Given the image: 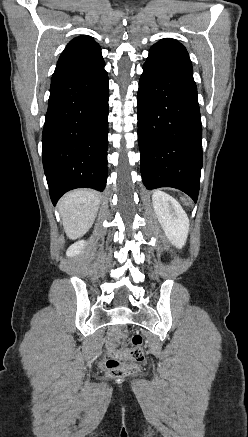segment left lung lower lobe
Wrapping results in <instances>:
<instances>
[{
	"label": "left lung lower lobe",
	"instance_id": "left-lung-lower-lobe-1",
	"mask_svg": "<svg viewBox=\"0 0 248 437\" xmlns=\"http://www.w3.org/2000/svg\"><path fill=\"white\" fill-rule=\"evenodd\" d=\"M137 107L144 185L149 190L174 187L196 202L203 154L192 74L145 62Z\"/></svg>",
	"mask_w": 248,
	"mask_h": 437
}]
</instances>
